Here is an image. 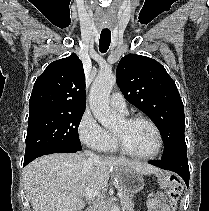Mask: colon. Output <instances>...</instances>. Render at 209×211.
<instances>
[{"label": "colon", "mask_w": 209, "mask_h": 211, "mask_svg": "<svg viewBox=\"0 0 209 211\" xmlns=\"http://www.w3.org/2000/svg\"><path fill=\"white\" fill-rule=\"evenodd\" d=\"M166 188L169 196V205L172 211H175L181 192V185L178 179L170 177L167 179Z\"/></svg>", "instance_id": "1"}]
</instances>
